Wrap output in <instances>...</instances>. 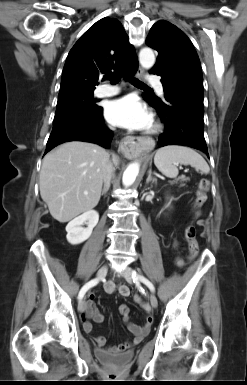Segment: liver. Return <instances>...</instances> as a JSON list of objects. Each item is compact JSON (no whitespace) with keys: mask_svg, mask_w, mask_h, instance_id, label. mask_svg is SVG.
<instances>
[{"mask_svg":"<svg viewBox=\"0 0 247 385\" xmlns=\"http://www.w3.org/2000/svg\"><path fill=\"white\" fill-rule=\"evenodd\" d=\"M108 161L104 148L82 141L65 142L44 157L40 195L54 219L68 222L98 204ZM112 161L118 166L115 154Z\"/></svg>","mask_w":247,"mask_h":385,"instance_id":"1","label":"liver"}]
</instances>
